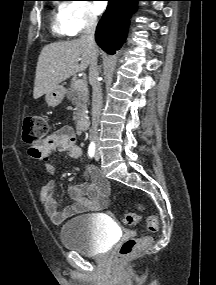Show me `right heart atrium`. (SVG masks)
<instances>
[{"label":"right heart atrium","mask_w":216,"mask_h":285,"mask_svg":"<svg viewBox=\"0 0 216 285\" xmlns=\"http://www.w3.org/2000/svg\"><path fill=\"white\" fill-rule=\"evenodd\" d=\"M59 11L63 25L71 36L95 27L98 22L92 5L86 0H68Z\"/></svg>","instance_id":"right-heart-atrium-1"}]
</instances>
